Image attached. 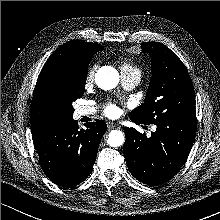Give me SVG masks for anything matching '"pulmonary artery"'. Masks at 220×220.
Segmentation results:
<instances>
[{"instance_id":"pulmonary-artery-1","label":"pulmonary artery","mask_w":220,"mask_h":220,"mask_svg":"<svg viewBox=\"0 0 220 220\" xmlns=\"http://www.w3.org/2000/svg\"><path fill=\"white\" fill-rule=\"evenodd\" d=\"M140 81V73H124L122 72V82L126 89H133ZM95 113V108L93 107H81L79 109L80 115H91Z\"/></svg>"}]
</instances>
